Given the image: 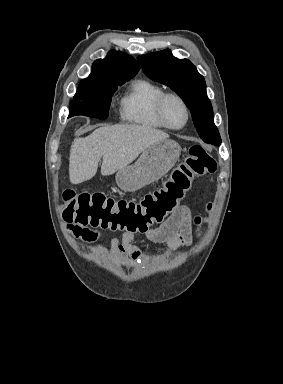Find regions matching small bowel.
<instances>
[{"mask_svg": "<svg viewBox=\"0 0 283 384\" xmlns=\"http://www.w3.org/2000/svg\"><path fill=\"white\" fill-rule=\"evenodd\" d=\"M69 230L79 239L94 242L98 239V232L86 227L69 225ZM148 240L154 243H165L167 249L165 256H170L180 247L191 243V216L185 206H180L159 226L145 232ZM134 234L125 232L121 239L113 238L110 241L112 253L120 262L126 263L132 259L137 263L147 260L146 255L133 244Z\"/></svg>", "mask_w": 283, "mask_h": 384, "instance_id": "1", "label": "small bowel"}]
</instances>
